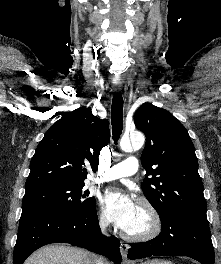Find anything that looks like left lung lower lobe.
Returning <instances> with one entry per match:
<instances>
[{
    "label": "left lung lower lobe",
    "instance_id": "0a47b994",
    "mask_svg": "<svg viewBox=\"0 0 221 264\" xmlns=\"http://www.w3.org/2000/svg\"><path fill=\"white\" fill-rule=\"evenodd\" d=\"M161 219V233L142 243H130L129 259L188 256L214 264V249L206 213H170Z\"/></svg>",
    "mask_w": 221,
    "mask_h": 264
}]
</instances>
